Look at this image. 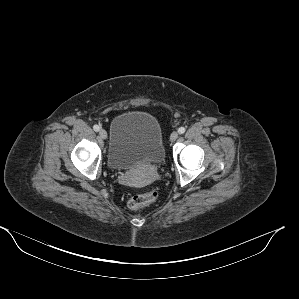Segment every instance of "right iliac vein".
I'll return each instance as SVG.
<instances>
[{
	"instance_id": "right-iliac-vein-1",
	"label": "right iliac vein",
	"mask_w": 299,
	"mask_h": 299,
	"mask_svg": "<svg viewBox=\"0 0 299 299\" xmlns=\"http://www.w3.org/2000/svg\"><path fill=\"white\" fill-rule=\"evenodd\" d=\"M99 135L102 139H106L107 138V132L104 129H101L99 131Z\"/></svg>"
}]
</instances>
